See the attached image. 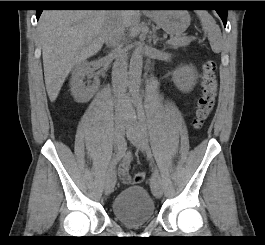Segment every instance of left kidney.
I'll use <instances>...</instances> for the list:
<instances>
[{"label": "left kidney", "mask_w": 265, "mask_h": 245, "mask_svg": "<svg viewBox=\"0 0 265 245\" xmlns=\"http://www.w3.org/2000/svg\"><path fill=\"white\" fill-rule=\"evenodd\" d=\"M197 73L193 66H183L173 73L172 80L176 87L183 91L189 92L196 84Z\"/></svg>", "instance_id": "1"}]
</instances>
